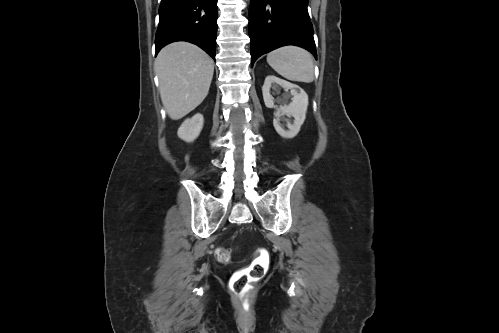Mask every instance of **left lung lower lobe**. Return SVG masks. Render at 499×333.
Wrapping results in <instances>:
<instances>
[{
  "instance_id": "1",
  "label": "left lung lower lobe",
  "mask_w": 499,
  "mask_h": 333,
  "mask_svg": "<svg viewBox=\"0 0 499 333\" xmlns=\"http://www.w3.org/2000/svg\"><path fill=\"white\" fill-rule=\"evenodd\" d=\"M308 0H251L249 36L251 66L263 54L295 45L317 58Z\"/></svg>"
}]
</instances>
